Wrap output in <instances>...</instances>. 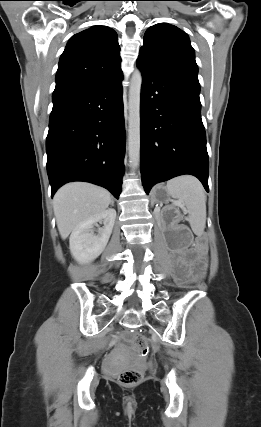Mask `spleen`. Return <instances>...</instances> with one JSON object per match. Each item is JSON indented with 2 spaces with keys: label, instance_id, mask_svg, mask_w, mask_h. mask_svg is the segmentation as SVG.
<instances>
[{
  "label": "spleen",
  "instance_id": "1",
  "mask_svg": "<svg viewBox=\"0 0 261 427\" xmlns=\"http://www.w3.org/2000/svg\"><path fill=\"white\" fill-rule=\"evenodd\" d=\"M170 196L188 211V222L192 231L200 236L206 225V195L202 184L193 176H180L167 182Z\"/></svg>",
  "mask_w": 261,
  "mask_h": 427
}]
</instances>
